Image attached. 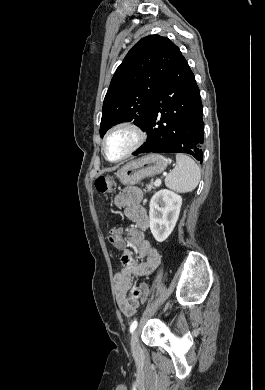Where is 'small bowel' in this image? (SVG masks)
I'll list each match as a JSON object with an SVG mask.
<instances>
[{
    "label": "small bowel",
    "mask_w": 265,
    "mask_h": 390,
    "mask_svg": "<svg viewBox=\"0 0 265 390\" xmlns=\"http://www.w3.org/2000/svg\"><path fill=\"white\" fill-rule=\"evenodd\" d=\"M142 192L136 187H127L115 197V205L123 207L125 215L134 223L129 229L127 239L121 229L118 231V240L115 243L121 254L122 268L114 276L117 302L125 316H132L139 306V291L142 285H133L134 275H150L159 265L161 257L159 252L145 237V230L149 221L144 207L141 205ZM131 245L136 249L137 256L142 260L138 262L134 253L128 248Z\"/></svg>",
    "instance_id": "small-bowel-1"
}]
</instances>
